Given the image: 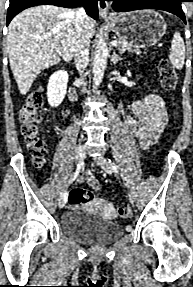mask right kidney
<instances>
[{"mask_svg": "<svg viewBox=\"0 0 193 287\" xmlns=\"http://www.w3.org/2000/svg\"><path fill=\"white\" fill-rule=\"evenodd\" d=\"M68 74L64 70L54 72L48 81L47 97L48 103L52 107L59 106L65 98L67 92Z\"/></svg>", "mask_w": 193, "mask_h": 287, "instance_id": "right-kidney-1", "label": "right kidney"}]
</instances>
